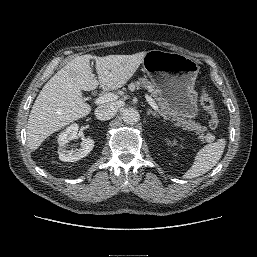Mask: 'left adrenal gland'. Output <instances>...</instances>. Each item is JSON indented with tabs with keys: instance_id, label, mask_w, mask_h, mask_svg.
Masks as SVG:
<instances>
[{
	"instance_id": "obj_1",
	"label": "left adrenal gland",
	"mask_w": 257,
	"mask_h": 257,
	"mask_svg": "<svg viewBox=\"0 0 257 257\" xmlns=\"http://www.w3.org/2000/svg\"><path fill=\"white\" fill-rule=\"evenodd\" d=\"M147 114L148 115L152 114L153 116L158 117V114L156 112H154L153 110H151V109H148Z\"/></svg>"
}]
</instances>
